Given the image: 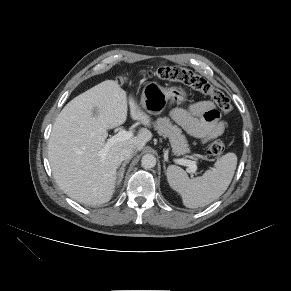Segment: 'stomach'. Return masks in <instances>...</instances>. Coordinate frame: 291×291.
Returning <instances> with one entry per match:
<instances>
[{
	"mask_svg": "<svg viewBox=\"0 0 291 291\" xmlns=\"http://www.w3.org/2000/svg\"><path fill=\"white\" fill-rule=\"evenodd\" d=\"M187 100V94L181 87L164 88L156 82L146 84L142 91L140 105L149 114L163 112L168 102L180 105Z\"/></svg>",
	"mask_w": 291,
	"mask_h": 291,
	"instance_id": "stomach-1",
	"label": "stomach"
}]
</instances>
